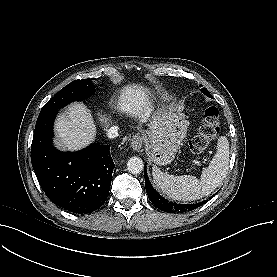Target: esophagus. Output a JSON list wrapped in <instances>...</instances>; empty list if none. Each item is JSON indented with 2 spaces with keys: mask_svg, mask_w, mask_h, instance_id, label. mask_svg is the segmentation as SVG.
Returning <instances> with one entry per match:
<instances>
[{
  "mask_svg": "<svg viewBox=\"0 0 277 277\" xmlns=\"http://www.w3.org/2000/svg\"><path fill=\"white\" fill-rule=\"evenodd\" d=\"M144 145V138L140 134H136L131 140V147L134 151L140 152Z\"/></svg>",
  "mask_w": 277,
  "mask_h": 277,
  "instance_id": "34e87169",
  "label": "esophagus"
}]
</instances>
